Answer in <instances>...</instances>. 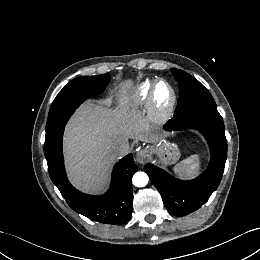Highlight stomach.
Listing matches in <instances>:
<instances>
[{
	"label": "stomach",
	"mask_w": 260,
	"mask_h": 260,
	"mask_svg": "<svg viewBox=\"0 0 260 260\" xmlns=\"http://www.w3.org/2000/svg\"><path fill=\"white\" fill-rule=\"evenodd\" d=\"M155 153L159 158V162L164 166L175 164L181 156L177 144L170 142L160 143V145L155 148Z\"/></svg>",
	"instance_id": "stomach-1"
}]
</instances>
